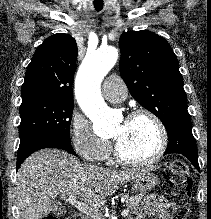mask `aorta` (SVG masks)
<instances>
[{
    "label": "aorta",
    "mask_w": 211,
    "mask_h": 219,
    "mask_svg": "<svg viewBox=\"0 0 211 219\" xmlns=\"http://www.w3.org/2000/svg\"><path fill=\"white\" fill-rule=\"evenodd\" d=\"M118 59V50L112 46L100 47L87 53L75 81L77 101L93 122V130L100 137L113 135L118 117L104 102L100 85L105 75L112 69Z\"/></svg>",
    "instance_id": "aorta-1"
}]
</instances>
